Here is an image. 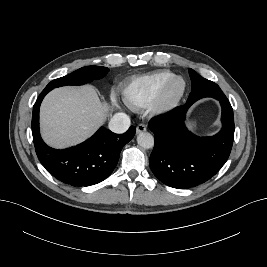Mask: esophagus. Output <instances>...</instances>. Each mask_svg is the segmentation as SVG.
<instances>
[{
    "label": "esophagus",
    "instance_id": "obj_1",
    "mask_svg": "<svg viewBox=\"0 0 267 267\" xmlns=\"http://www.w3.org/2000/svg\"><path fill=\"white\" fill-rule=\"evenodd\" d=\"M147 130V127L144 124H139L136 128L137 133H141Z\"/></svg>",
    "mask_w": 267,
    "mask_h": 267
}]
</instances>
